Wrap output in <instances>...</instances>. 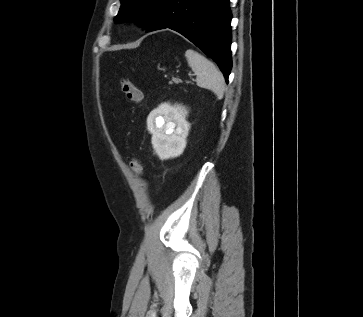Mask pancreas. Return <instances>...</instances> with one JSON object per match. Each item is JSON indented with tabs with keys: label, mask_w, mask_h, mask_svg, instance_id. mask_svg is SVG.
Wrapping results in <instances>:
<instances>
[{
	"label": "pancreas",
	"mask_w": 363,
	"mask_h": 317,
	"mask_svg": "<svg viewBox=\"0 0 363 317\" xmlns=\"http://www.w3.org/2000/svg\"><path fill=\"white\" fill-rule=\"evenodd\" d=\"M181 80L179 79V78H173L172 79V82H174V83H179Z\"/></svg>",
	"instance_id": "cf45deb5"
}]
</instances>
